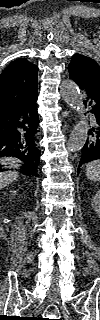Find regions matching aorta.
<instances>
[{"label":"aorta","instance_id":"obj_1","mask_svg":"<svg viewBox=\"0 0 100 320\" xmlns=\"http://www.w3.org/2000/svg\"><path fill=\"white\" fill-rule=\"evenodd\" d=\"M60 93L63 100L77 113V123L67 143V149L76 152L85 145L89 130L87 116L84 115L83 100L77 84L69 79L62 81Z\"/></svg>","mask_w":100,"mask_h":320}]
</instances>
